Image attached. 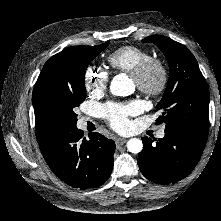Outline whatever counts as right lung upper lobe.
<instances>
[{
  "mask_svg": "<svg viewBox=\"0 0 221 221\" xmlns=\"http://www.w3.org/2000/svg\"><path fill=\"white\" fill-rule=\"evenodd\" d=\"M81 46H73L57 53L44 65L34 86L32 103L35 113V132L38 143L62 128V118L59 111L45 98L43 83L47 76L56 68L59 61L76 53Z\"/></svg>",
  "mask_w": 221,
  "mask_h": 221,
  "instance_id": "cb5924a9",
  "label": "right lung upper lobe"
}]
</instances>
